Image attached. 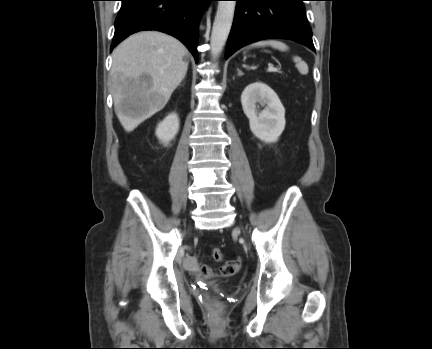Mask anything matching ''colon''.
<instances>
[{
  "mask_svg": "<svg viewBox=\"0 0 432 349\" xmlns=\"http://www.w3.org/2000/svg\"><path fill=\"white\" fill-rule=\"evenodd\" d=\"M211 255L215 261H222L223 253L219 248H213Z\"/></svg>",
  "mask_w": 432,
  "mask_h": 349,
  "instance_id": "obj_1",
  "label": "colon"
}]
</instances>
